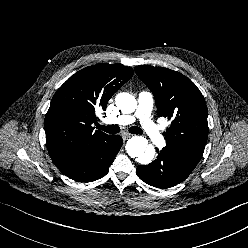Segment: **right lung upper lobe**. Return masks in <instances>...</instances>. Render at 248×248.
<instances>
[{
	"mask_svg": "<svg viewBox=\"0 0 248 248\" xmlns=\"http://www.w3.org/2000/svg\"><path fill=\"white\" fill-rule=\"evenodd\" d=\"M132 75L130 67L101 63L78 71L57 90L45 116L47 149L55 165L108 136L92 126L96 111L105 110Z\"/></svg>",
	"mask_w": 248,
	"mask_h": 248,
	"instance_id": "cb5924a9",
	"label": "right lung upper lobe"
}]
</instances>
